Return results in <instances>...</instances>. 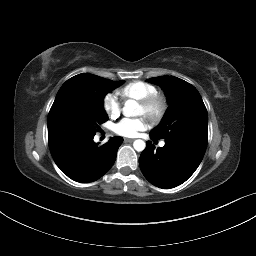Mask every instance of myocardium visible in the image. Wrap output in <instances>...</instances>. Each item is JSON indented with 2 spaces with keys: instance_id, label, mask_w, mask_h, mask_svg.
Listing matches in <instances>:
<instances>
[{
  "instance_id": "f54148a6",
  "label": "myocardium",
  "mask_w": 256,
  "mask_h": 256,
  "mask_svg": "<svg viewBox=\"0 0 256 256\" xmlns=\"http://www.w3.org/2000/svg\"><path fill=\"white\" fill-rule=\"evenodd\" d=\"M140 106L145 110V116L152 122H159L167 112V99L160 93L147 96L139 101Z\"/></svg>"
}]
</instances>
